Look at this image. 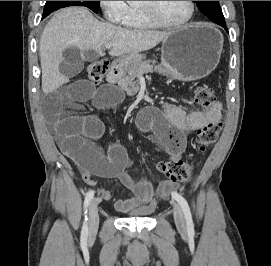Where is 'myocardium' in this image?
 <instances>
[{
	"instance_id": "f54148a6",
	"label": "myocardium",
	"mask_w": 271,
	"mask_h": 266,
	"mask_svg": "<svg viewBox=\"0 0 271 266\" xmlns=\"http://www.w3.org/2000/svg\"><path fill=\"white\" fill-rule=\"evenodd\" d=\"M152 1H144V3L140 6L142 12L144 15L155 25L167 27V28H182L187 26L191 23V21L194 18L195 14V4L193 1H188V4L190 6L189 14L187 18L181 22H169L165 19H163L153 8Z\"/></svg>"
}]
</instances>
